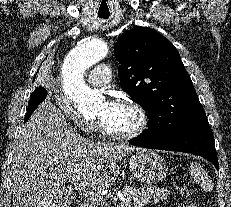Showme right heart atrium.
I'll use <instances>...</instances> for the list:
<instances>
[{
	"instance_id": "obj_1",
	"label": "right heart atrium",
	"mask_w": 231,
	"mask_h": 207,
	"mask_svg": "<svg viewBox=\"0 0 231 207\" xmlns=\"http://www.w3.org/2000/svg\"><path fill=\"white\" fill-rule=\"evenodd\" d=\"M54 103L56 109L84 133L90 134L96 130L94 120L84 116L65 96H57Z\"/></svg>"
}]
</instances>
